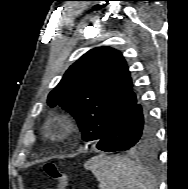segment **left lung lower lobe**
I'll return each instance as SVG.
<instances>
[{
    "label": "left lung lower lobe",
    "instance_id": "left-lung-lower-lobe-1",
    "mask_svg": "<svg viewBox=\"0 0 188 189\" xmlns=\"http://www.w3.org/2000/svg\"><path fill=\"white\" fill-rule=\"evenodd\" d=\"M154 129L145 108L136 103L96 144L99 150L120 152L135 150L152 143Z\"/></svg>",
    "mask_w": 188,
    "mask_h": 189
}]
</instances>
